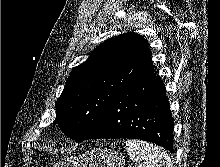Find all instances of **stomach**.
Segmentation results:
<instances>
[{
  "label": "stomach",
  "instance_id": "stomach-1",
  "mask_svg": "<svg viewBox=\"0 0 220 167\" xmlns=\"http://www.w3.org/2000/svg\"><path fill=\"white\" fill-rule=\"evenodd\" d=\"M56 167H125V160L118 151L94 148L83 154L67 157Z\"/></svg>",
  "mask_w": 220,
  "mask_h": 167
}]
</instances>
